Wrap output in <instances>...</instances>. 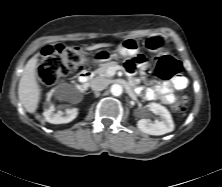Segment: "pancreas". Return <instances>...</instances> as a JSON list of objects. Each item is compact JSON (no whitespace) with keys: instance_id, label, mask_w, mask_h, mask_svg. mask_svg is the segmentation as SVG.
Returning a JSON list of instances; mask_svg holds the SVG:
<instances>
[{"instance_id":"obj_1","label":"pancreas","mask_w":222,"mask_h":187,"mask_svg":"<svg viewBox=\"0 0 222 187\" xmlns=\"http://www.w3.org/2000/svg\"><path fill=\"white\" fill-rule=\"evenodd\" d=\"M117 67H118V64L117 62H114V61L104 63L100 65V67L95 71V73L98 74L100 77L109 78L110 75L108 74V70L110 68H117Z\"/></svg>"}]
</instances>
